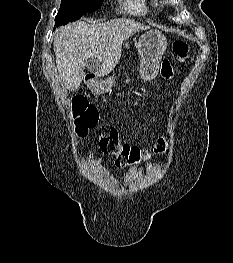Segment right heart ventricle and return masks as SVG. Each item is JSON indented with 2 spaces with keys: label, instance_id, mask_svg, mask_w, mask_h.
<instances>
[{
  "label": "right heart ventricle",
  "instance_id": "e07e8e85",
  "mask_svg": "<svg viewBox=\"0 0 233 263\" xmlns=\"http://www.w3.org/2000/svg\"><path fill=\"white\" fill-rule=\"evenodd\" d=\"M128 8L135 13H141L145 10L144 0H128Z\"/></svg>",
  "mask_w": 233,
  "mask_h": 263
}]
</instances>
